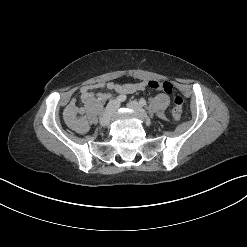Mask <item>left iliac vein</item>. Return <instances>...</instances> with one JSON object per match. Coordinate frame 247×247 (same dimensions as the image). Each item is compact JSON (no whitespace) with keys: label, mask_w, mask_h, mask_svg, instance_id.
I'll return each instance as SVG.
<instances>
[{"label":"left iliac vein","mask_w":247,"mask_h":247,"mask_svg":"<svg viewBox=\"0 0 247 247\" xmlns=\"http://www.w3.org/2000/svg\"><path fill=\"white\" fill-rule=\"evenodd\" d=\"M128 107L138 112L139 118L145 122L146 125H152L153 121L148 117L145 110L141 107V105L133 100L128 103Z\"/></svg>","instance_id":"obj_1"}]
</instances>
